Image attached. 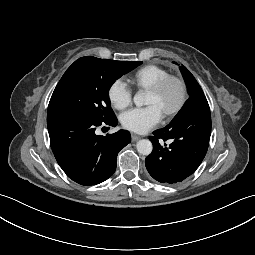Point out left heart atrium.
Returning a JSON list of instances; mask_svg holds the SVG:
<instances>
[{
  "label": "left heart atrium",
  "instance_id": "39dd6f15",
  "mask_svg": "<svg viewBox=\"0 0 255 255\" xmlns=\"http://www.w3.org/2000/svg\"><path fill=\"white\" fill-rule=\"evenodd\" d=\"M163 112L155 104L132 108L121 115L122 126L135 133H146L162 119Z\"/></svg>",
  "mask_w": 255,
  "mask_h": 255
}]
</instances>
